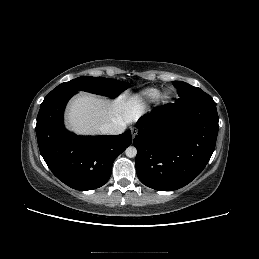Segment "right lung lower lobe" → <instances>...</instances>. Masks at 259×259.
I'll list each match as a JSON object with an SVG mask.
<instances>
[{"label": "right lung lower lobe", "mask_w": 259, "mask_h": 259, "mask_svg": "<svg viewBox=\"0 0 259 259\" xmlns=\"http://www.w3.org/2000/svg\"><path fill=\"white\" fill-rule=\"evenodd\" d=\"M76 93L63 92L45 98L37 116L38 146L52 173L69 187L86 191L103 186L112 165L132 142L131 131L113 136H77L63 124L68 100Z\"/></svg>", "instance_id": "98d812e1"}]
</instances>
